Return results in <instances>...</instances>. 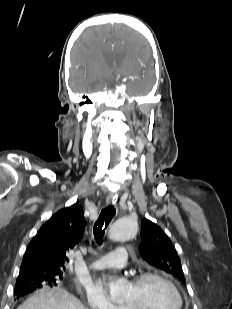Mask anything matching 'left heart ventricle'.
<instances>
[{"instance_id": "1", "label": "left heart ventricle", "mask_w": 232, "mask_h": 309, "mask_svg": "<svg viewBox=\"0 0 232 309\" xmlns=\"http://www.w3.org/2000/svg\"><path fill=\"white\" fill-rule=\"evenodd\" d=\"M177 298L171 288L159 279H150L140 285L129 284L122 304L137 309H175Z\"/></svg>"}]
</instances>
